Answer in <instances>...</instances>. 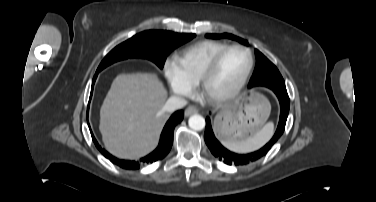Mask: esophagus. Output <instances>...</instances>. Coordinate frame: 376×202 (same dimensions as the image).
<instances>
[{"mask_svg":"<svg viewBox=\"0 0 376 202\" xmlns=\"http://www.w3.org/2000/svg\"><path fill=\"white\" fill-rule=\"evenodd\" d=\"M197 112H198V110L195 106H189L185 110V116L188 117V116L195 114Z\"/></svg>","mask_w":376,"mask_h":202,"instance_id":"obj_1","label":"esophagus"}]
</instances>
